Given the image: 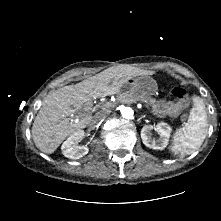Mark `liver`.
<instances>
[{"mask_svg": "<svg viewBox=\"0 0 221 221\" xmlns=\"http://www.w3.org/2000/svg\"><path fill=\"white\" fill-rule=\"evenodd\" d=\"M136 75L131 69L111 67L80 83L50 92L32 126L36 147L52 154L68 136L91 123L93 99L118 93L123 84Z\"/></svg>", "mask_w": 221, "mask_h": 221, "instance_id": "1", "label": "liver"}]
</instances>
